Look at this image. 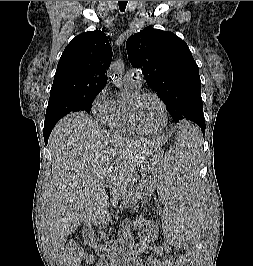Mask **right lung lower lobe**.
Here are the masks:
<instances>
[{
    "mask_svg": "<svg viewBox=\"0 0 253 266\" xmlns=\"http://www.w3.org/2000/svg\"><path fill=\"white\" fill-rule=\"evenodd\" d=\"M56 123L57 122H52V123H48V124L44 123L43 135H44L45 144H47L50 133H51V131L54 128Z\"/></svg>",
    "mask_w": 253,
    "mask_h": 266,
    "instance_id": "obj_1",
    "label": "right lung lower lobe"
}]
</instances>
